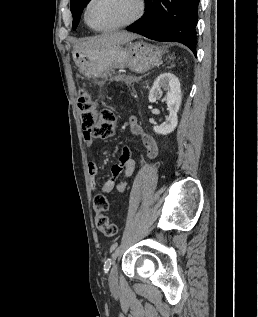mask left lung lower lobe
<instances>
[{"label": "left lung lower lobe", "mask_w": 258, "mask_h": 317, "mask_svg": "<svg viewBox=\"0 0 258 317\" xmlns=\"http://www.w3.org/2000/svg\"><path fill=\"white\" fill-rule=\"evenodd\" d=\"M200 0H146L145 14L128 31L147 38L179 42L189 47L196 56V30Z\"/></svg>", "instance_id": "1"}]
</instances>
